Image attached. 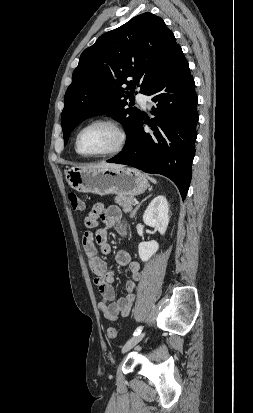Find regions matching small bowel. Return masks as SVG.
Listing matches in <instances>:
<instances>
[{"label":"small bowel","mask_w":253,"mask_h":413,"mask_svg":"<svg viewBox=\"0 0 253 413\" xmlns=\"http://www.w3.org/2000/svg\"><path fill=\"white\" fill-rule=\"evenodd\" d=\"M101 220L104 224L102 228H97ZM87 228L82 238V245L87 256L88 266L95 274L94 284L97 286L101 299L98 308L102 315L109 320H116L119 316L127 317L135 300L134 291L136 284L141 277V266L138 262L132 261L130 254L125 250H120L116 254V262L120 266L128 267L129 279L125 283V294L116 299L115 288L113 286L114 273L109 270L107 263L99 256L100 253L107 256L111 253V246L108 242V230L114 228L120 235L126 234V226L122 222V212L118 206H104L96 203L84 219Z\"/></svg>","instance_id":"c3829d8e"}]
</instances>
